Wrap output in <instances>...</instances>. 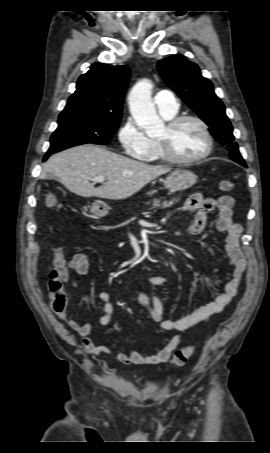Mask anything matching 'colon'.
<instances>
[{
    "mask_svg": "<svg viewBox=\"0 0 270 453\" xmlns=\"http://www.w3.org/2000/svg\"><path fill=\"white\" fill-rule=\"evenodd\" d=\"M219 188L223 192H231L234 190L235 184L232 181L223 180L219 183ZM45 203L50 208H61L58 198L52 193L46 194ZM48 290L50 296V306L53 311L58 315L66 313L68 310L69 298L64 289L63 281L58 272L55 270H53L49 275ZM193 353V346H186L179 349L173 354L171 363L174 366H182L192 357Z\"/></svg>",
    "mask_w": 270,
    "mask_h": 453,
    "instance_id": "colon-1",
    "label": "colon"
}]
</instances>
